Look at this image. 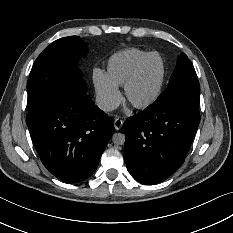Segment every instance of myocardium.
I'll return each instance as SVG.
<instances>
[{"mask_svg":"<svg viewBox=\"0 0 233 233\" xmlns=\"http://www.w3.org/2000/svg\"><path fill=\"white\" fill-rule=\"evenodd\" d=\"M154 56H159L163 59L164 62V74L162 81L160 83V86L158 88L157 93L155 96L148 102L146 103H134L130 100L129 97V91L132 87V85L135 83V81L139 78L140 74L142 71L145 69L149 61L154 57ZM168 75H169V67L168 63L164 57V55L160 52L154 51L150 52L144 59L143 61L135 68V70L131 73V75L127 78L123 85V90H124V96L125 98L138 110H147L150 107L154 106L158 101L161 99L163 92L165 90V86L168 80Z\"/></svg>","mask_w":233,"mask_h":233,"instance_id":"1","label":"myocardium"}]
</instances>
